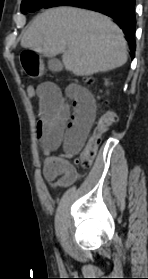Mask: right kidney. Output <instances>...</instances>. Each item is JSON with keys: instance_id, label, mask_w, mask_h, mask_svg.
Returning a JSON list of instances; mask_svg holds the SVG:
<instances>
[{"instance_id": "ca27d5eb", "label": "right kidney", "mask_w": 148, "mask_h": 279, "mask_svg": "<svg viewBox=\"0 0 148 279\" xmlns=\"http://www.w3.org/2000/svg\"><path fill=\"white\" fill-rule=\"evenodd\" d=\"M108 84H109V82L106 80V81H105V85H108Z\"/></svg>"}]
</instances>
